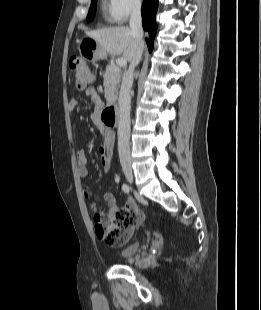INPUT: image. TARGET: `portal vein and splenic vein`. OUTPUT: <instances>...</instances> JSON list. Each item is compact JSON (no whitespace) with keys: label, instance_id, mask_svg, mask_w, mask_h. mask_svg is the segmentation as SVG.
<instances>
[{"label":"portal vein and splenic vein","instance_id":"portal-vein-and-splenic-vein-1","mask_svg":"<svg viewBox=\"0 0 261 310\" xmlns=\"http://www.w3.org/2000/svg\"><path fill=\"white\" fill-rule=\"evenodd\" d=\"M116 64L118 66H125L127 64V60L125 58H123V57L122 58H118L116 60Z\"/></svg>","mask_w":261,"mask_h":310}]
</instances>
